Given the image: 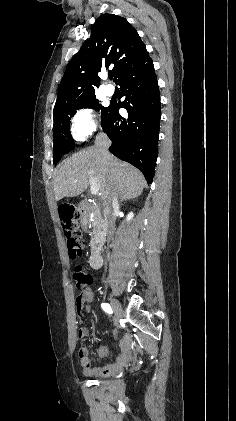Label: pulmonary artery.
Instances as JSON below:
<instances>
[{"mask_svg": "<svg viewBox=\"0 0 236 421\" xmlns=\"http://www.w3.org/2000/svg\"><path fill=\"white\" fill-rule=\"evenodd\" d=\"M114 92H115L114 87L109 86V85L104 87L105 95L112 96L114 94Z\"/></svg>", "mask_w": 236, "mask_h": 421, "instance_id": "1", "label": "pulmonary artery"}]
</instances>
